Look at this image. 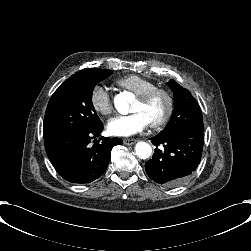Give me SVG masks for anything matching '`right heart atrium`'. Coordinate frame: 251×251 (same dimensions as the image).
<instances>
[{"label": "right heart atrium", "instance_id": "1", "mask_svg": "<svg viewBox=\"0 0 251 251\" xmlns=\"http://www.w3.org/2000/svg\"><path fill=\"white\" fill-rule=\"evenodd\" d=\"M89 101L94 111L108 115L112 111V98L106 86L96 84L92 87Z\"/></svg>", "mask_w": 251, "mask_h": 251}]
</instances>
